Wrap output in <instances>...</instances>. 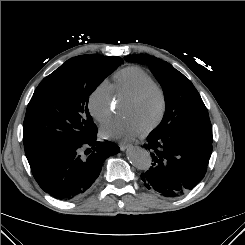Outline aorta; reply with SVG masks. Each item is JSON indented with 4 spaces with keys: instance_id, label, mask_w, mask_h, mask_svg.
I'll return each instance as SVG.
<instances>
[{
    "instance_id": "762f6f07",
    "label": "aorta",
    "mask_w": 245,
    "mask_h": 245,
    "mask_svg": "<svg viewBox=\"0 0 245 245\" xmlns=\"http://www.w3.org/2000/svg\"><path fill=\"white\" fill-rule=\"evenodd\" d=\"M127 158L139 170H147L152 163L150 153L146 149L138 146H131L127 150Z\"/></svg>"
}]
</instances>
